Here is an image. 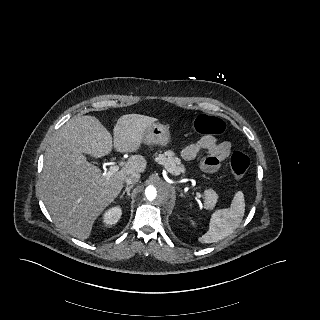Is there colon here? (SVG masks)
<instances>
[{
	"label": "colon",
	"mask_w": 320,
	"mask_h": 320,
	"mask_svg": "<svg viewBox=\"0 0 320 320\" xmlns=\"http://www.w3.org/2000/svg\"><path fill=\"white\" fill-rule=\"evenodd\" d=\"M193 127L200 133L218 135L224 132L225 122L223 119L213 115H198L190 120ZM250 160L242 152H234L229 161V167L234 178L239 180L247 172Z\"/></svg>",
	"instance_id": "5ec220e1"
}]
</instances>
